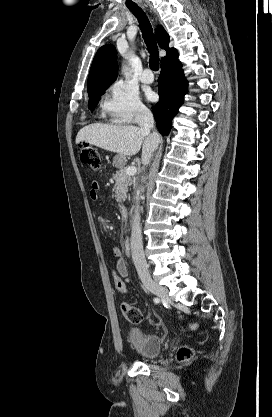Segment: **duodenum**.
<instances>
[{"mask_svg": "<svg viewBox=\"0 0 272 417\" xmlns=\"http://www.w3.org/2000/svg\"><path fill=\"white\" fill-rule=\"evenodd\" d=\"M120 213H121L123 218L127 219L128 218V208H127V206L122 205L120 207Z\"/></svg>", "mask_w": 272, "mask_h": 417, "instance_id": "1", "label": "duodenum"}]
</instances>
